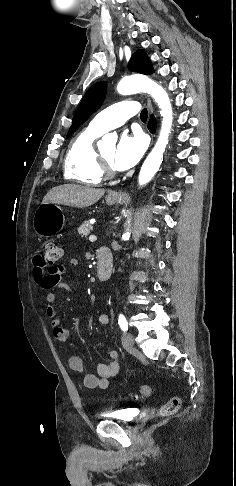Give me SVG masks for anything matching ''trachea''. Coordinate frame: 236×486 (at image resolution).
<instances>
[{"label": "trachea", "mask_w": 236, "mask_h": 486, "mask_svg": "<svg viewBox=\"0 0 236 486\" xmlns=\"http://www.w3.org/2000/svg\"><path fill=\"white\" fill-rule=\"evenodd\" d=\"M140 117L142 120H146L147 119V109H143L141 114H140Z\"/></svg>", "instance_id": "3493384b"}]
</instances>
